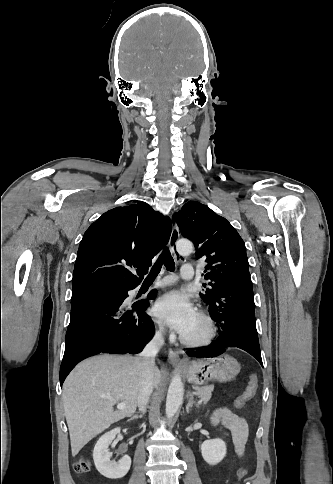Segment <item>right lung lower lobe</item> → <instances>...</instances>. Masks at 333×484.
Returning a JSON list of instances; mask_svg holds the SVG:
<instances>
[{
	"label": "right lung lower lobe",
	"instance_id": "1",
	"mask_svg": "<svg viewBox=\"0 0 333 484\" xmlns=\"http://www.w3.org/2000/svg\"><path fill=\"white\" fill-rule=\"evenodd\" d=\"M134 288L92 285L73 289L71 319L60 367L61 385L81 360L99 353L136 354L153 337V321L144 312L148 302L132 307L123 305L127 292Z\"/></svg>",
	"mask_w": 333,
	"mask_h": 484
}]
</instances>
